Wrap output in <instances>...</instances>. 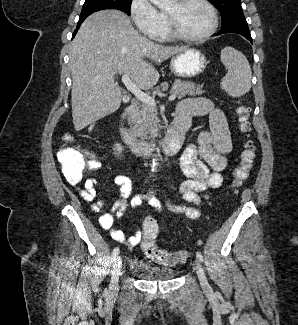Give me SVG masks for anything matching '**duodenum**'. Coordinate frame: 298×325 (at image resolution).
Returning <instances> with one entry per match:
<instances>
[{"label": "duodenum", "mask_w": 298, "mask_h": 325, "mask_svg": "<svg viewBox=\"0 0 298 325\" xmlns=\"http://www.w3.org/2000/svg\"><path fill=\"white\" fill-rule=\"evenodd\" d=\"M138 101L134 100L124 111L119 122V131L124 143L138 155H151L158 151L171 156L177 153L183 143L184 135L190 127L192 117L202 114V109L195 103L181 102L170 128L159 143L147 142L138 138L129 128V120L136 112Z\"/></svg>", "instance_id": "410a0bca"}]
</instances>
